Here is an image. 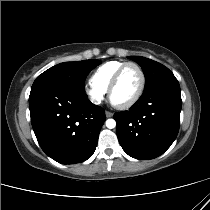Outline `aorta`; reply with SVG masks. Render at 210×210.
Wrapping results in <instances>:
<instances>
[{
	"label": "aorta",
	"mask_w": 210,
	"mask_h": 210,
	"mask_svg": "<svg viewBox=\"0 0 210 210\" xmlns=\"http://www.w3.org/2000/svg\"><path fill=\"white\" fill-rule=\"evenodd\" d=\"M106 126H107V128H109V129H113V128L116 127V121H115L114 119H108V120L106 121Z\"/></svg>",
	"instance_id": "obj_1"
}]
</instances>
